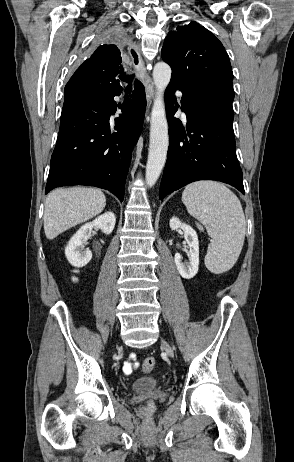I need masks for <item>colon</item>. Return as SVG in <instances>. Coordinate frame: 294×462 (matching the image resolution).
I'll use <instances>...</instances> for the list:
<instances>
[{"instance_id": "5ec220e1", "label": "colon", "mask_w": 294, "mask_h": 462, "mask_svg": "<svg viewBox=\"0 0 294 462\" xmlns=\"http://www.w3.org/2000/svg\"><path fill=\"white\" fill-rule=\"evenodd\" d=\"M155 364H156L155 359L153 357H148V358H146L144 360V362L142 364V369H143L144 372H150L155 367ZM145 408L148 411L153 410L154 409V403L153 402L146 403Z\"/></svg>"}]
</instances>
